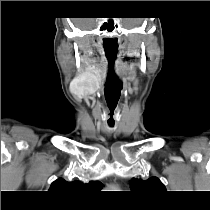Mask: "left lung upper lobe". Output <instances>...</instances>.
<instances>
[{"label": "left lung upper lobe", "instance_id": "left-lung-upper-lobe-1", "mask_svg": "<svg viewBox=\"0 0 210 210\" xmlns=\"http://www.w3.org/2000/svg\"><path fill=\"white\" fill-rule=\"evenodd\" d=\"M132 191L140 193H156L165 190V186L156 177H151L148 180L132 178L130 183Z\"/></svg>", "mask_w": 210, "mask_h": 210}]
</instances>
